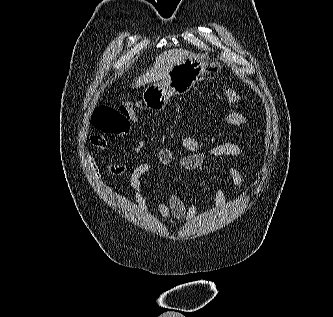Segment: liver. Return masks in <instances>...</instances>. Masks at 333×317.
<instances>
[{"label": "liver", "instance_id": "liver-1", "mask_svg": "<svg viewBox=\"0 0 333 317\" xmlns=\"http://www.w3.org/2000/svg\"><path fill=\"white\" fill-rule=\"evenodd\" d=\"M193 57L194 53L181 48L164 51L156 58V61L150 71L135 81V87L137 88L143 84L165 78L174 65L187 58Z\"/></svg>", "mask_w": 333, "mask_h": 317}]
</instances>
